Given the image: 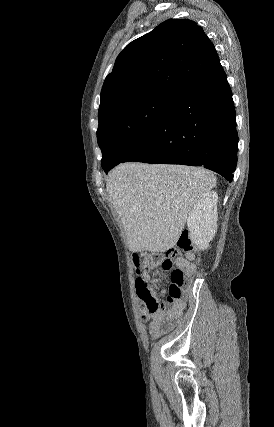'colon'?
I'll return each mask as SVG.
<instances>
[{
    "label": "colon",
    "instance_id": "1",
    "mask_svg": "<svg viewBox=\"0 0 274 427\" xmlns=\"http://www.w3.org/2000/svg\"><path fill=\"white\" fill-rule=\"evenodd\" d=\"M175 247L182 248L185 251L192 249L189 242V230L181 229L180 235L175 236ZM177 257L176 252H169L165 256H142L141 250L133 251L132 263L135 273L139 277L133 280V291L138 293L142 299L143 308L151 314H157L165 303L173 304L178 301L184 292V288L189 278V271L186 267H176L173 259ZM153 263H161L162 269L170 273V282L167 288L162 292L163 302H158L151 292L147 290V278H149V266ZM141 318L147 320L148 316L142 313Z\"/></svg>",
    "mask_w": 274,
    "mask_h": 427
}]
</instances>
